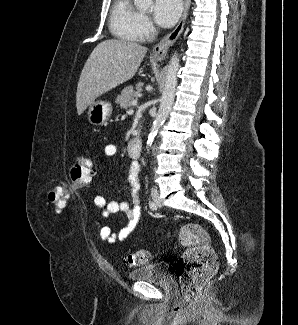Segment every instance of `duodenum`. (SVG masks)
Here are the masks:
<instances>
[{
    "instance_id": "1",
    "label": "duodenum",
    "mask_w": 298,
    "mask_h": 325,
    "mask_svg": "<svg viewBox=\"0 0 298 325\" xmlns=\"http://www.w3.org/2000/svg\"><path fill=\"white\" fill-rule=\"evenodd\" d=\"M142 148H143V143L140 138H134L128 144L129 154L133 158H138L141 156Z\"/></svg>"
}]
</instances>
